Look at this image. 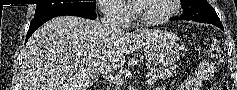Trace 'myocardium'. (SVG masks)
I'll list each match as a JSON object with an SVG mask.
<instances>
[{"label":"myocardium","instance_id":"1","mask_svg":"<svg viewBox=\"0 0 237 90\" xmlns=\"http://www.w3.org/2000/svg\"><path fill=\"white\" fill-rule=\"evenodd\" d=\"M140 1H147V0H140ZM168 3V10L155 18H144L141 17L138 13L136 7V1H129L130 2V11L133 18L132 28H150L152 26H156L161 24L167 20L172 19L178 12V5L177 3H183V0H164Z\"/></svg>","mask_w":237,"mask_h":90}]
</instances>
